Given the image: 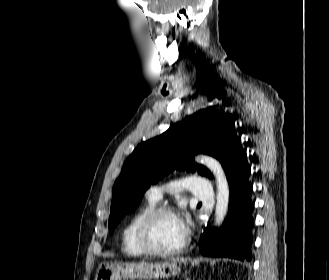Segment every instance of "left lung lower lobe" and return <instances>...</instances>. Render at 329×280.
I'll return each instance as SVG.
<instances>
[{"label": "left lung lower lobe", "mask_w": 329, "mask_h": 280, "mask_svg": "<svg viewBox=\"0 0 329 280\" xmlns=\"http://www.w3.org/2000/svg\"><path fill=\"white\" fill-rule=\"evenodd\" d=\"M250 171L243 151L240 166L227 177L230 187L228 218L220 230L210 231L207 227L199 243L203 255L251 260L254 221L250 199L252 185L248 180Z\"/></svg>", "instance_id": "0a47b994"}]
</instances>
